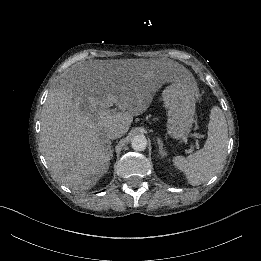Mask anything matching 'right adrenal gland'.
<instances>
[{
    "label": "right adrenal gland",
    "mask_w": 261,
    "mask_h": 261,
    "mask_svg": "<svg viewBox=\"0 0 261 261\" xmlns=\"http://www.w3.org/2000/svg\"><path fill=\"white\" fill-rule=\"evenodd\" d=\"M110 157L111 158L113 157V150H111Z\"/></svg>",
    "instance_id": "1"
}]
</instances>
